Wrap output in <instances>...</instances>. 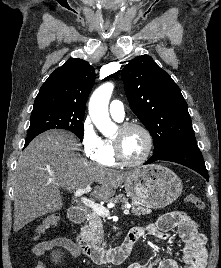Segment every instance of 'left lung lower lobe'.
<instances>
[{
	"label": "left lung lower lobe",
	"mask_w": 221,
	"mask_h": 268,
	"mask_svg": "<svg viewBox=\"0 0 221 268\" xmlns=\"http://www.w3.org/2000/svg\"><path fill=\"white\" fill-rule=\"evenodd\" d=\"M157 160L176 162L200 173L208 181V173L196 139H185L173 143L164 153L153 155L145 164Z\"/></svg>",
	"instance_id": "1"
}]
</instances>
